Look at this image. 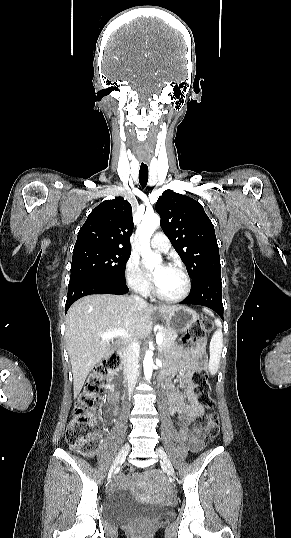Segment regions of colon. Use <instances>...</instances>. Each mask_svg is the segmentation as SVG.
<instances>
[{
	"instance_id": "colon-1",
	"label": "colon",
	"mask_w": 291,
	"mask_h": 538,
	"mask_svg": "<svg viewBox=\"0 0 291 538\" xmlns=\"http://www.w3.org/2000/svg\"><path fill=\"white\" fill-rule=\"evenodd\" d=\"M211 328V320L202 317L186 331L179 343L183 347L189 348ZM120 361V353L114 352L89 374L83 391L75 404L73 417L66 429V442L71 449L82 450L86 455H91L95 451L102 431L97 412L103 404L106 382L112 374L119 370ZM192 382L197 390L199 403L208 410L200 417V428L210 439H214L219 433V416L213 411L215 402L212 398V387L206 370L202 367L197 368L192 374ZM124 474L126 477H130L132 471L127 469ZM143 534L144 530L139 528L138 538H141Z\"/></svg>"
}]
</instances>
